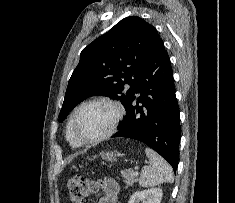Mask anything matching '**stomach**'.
I'll return each instance as SVG.
<instances>
[{"instance_id":"0dacf381","label":"stomach","mask_w":235,"mask_h":203,"mask_svg":"<svg viewBox=\"0 0 235 203\" xmlns=\"http://www.w3.org/2000/svg\"><path fill=\"white\" fill-rule=\"evenodd\" d=\"M116 157H117V155L115 152H106L103 155V159L110 161V162H114L116 160Z\"/></svg>"}]
</instances>
